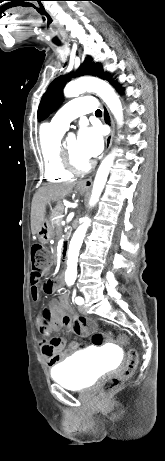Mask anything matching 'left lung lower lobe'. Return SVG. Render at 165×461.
<instances>
[{
	"mask_svg": "<svg viewBox=\"0 0 165 461\" xmlns=\"http://www.w3.org/2000/svg\"><path fill=\"white\" fill-rule=\"evenodd\" d=\"M111 83L119 92H122V89L120 88V86L116 82H111Z\"/></svg>",
	"mask_w": 165,
	"mask_h": 461,
	"instance_id": "left-lung-lower-lobe-1",
	"label": "left lung lower lobe"
}]
</instances>
